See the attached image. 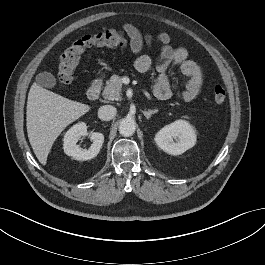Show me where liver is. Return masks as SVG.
<instances>
[{
	"mask_svg": "<svg viewBox=\"0 0 265 265\" xmlns=\"http://www.w3.org/2000/svg\"><path fill=\"white\" fill-rule=\"evenodd\" d=\"M89 110L88 105L33 83L28 93L26 126L30 145L42 165L60 133Z\"/></svg>",
	"mask_w": 265,
	"mask_h": 265,
	"instance_id": "6515ba94",
	"label": "liver"
}]
</instances>
